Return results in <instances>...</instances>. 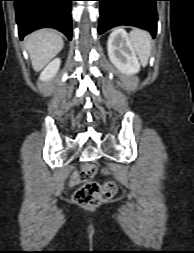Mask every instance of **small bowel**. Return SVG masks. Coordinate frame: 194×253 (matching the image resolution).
<instances>
[{"label": "small bowel", "mask_w": 194, "mask_h": 253, "mask_svg": "<svg viewBox=\"0 0 194 253\" xmlns=\"http://www.w3.org/2000/svg\"><path fill=\"white\" fill-rule=\"evenodd\" d=\"M79 181H80V179H79L78 174L77 173H73L72 177H71V181H70L71 185H76V184L79 183Z\"/></svg>", "instance_id": "c3829d8e"}]
</instances>
